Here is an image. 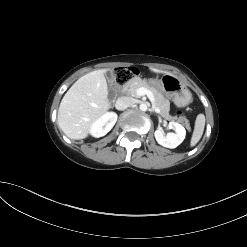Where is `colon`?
Masks as SVG:
<instances>
[{
    "mask_svg": "<svg viewBox=\"0 0 247 247\" xmlns=\"http://www.w3.org/2000/svg\"><path fill=\"white\" fill-rule=\"evenodd\" d=\"M135 74H137L136 68H117L114 71L113 77L116 86H121L127 83Z\"/></svg>",
    "mask_w": 247,
    "mask_h": 247,
    "instance_id": "1",
    "label": "colon"
}]
</instances>
